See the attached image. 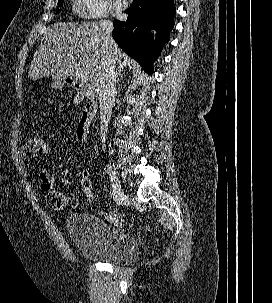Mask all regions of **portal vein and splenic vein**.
<instances>
[{"mask_svg":"<svg viewBox=\"0 0 272 303\" xmlns=\"http://www.w3.org/2000/svg\"><path fill=\"white\" fill-rule=\"evenodd\" d=\"M77 77L79 78L80 82L81 83H87L88 82V77L86 74H83V73H78L77 74Z\"/></svg>","mask_w":272,"mask_h":303,"instance_id":"portal-vein-and-splenic-vein-1","label":"portal vein and splenic vein"}]
</instances>
